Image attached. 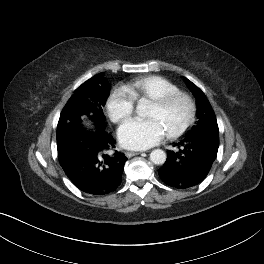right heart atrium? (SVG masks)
Returning a JSON list of instances; mask_svg holds the SVG:
<instances>
[{
	"instance_id": "d8ad5b80",
	"label": "right heart atrium",
	"mask_w": 264,
	"mask_h": 264,
	"mask_svg": "<svg viewBox=\"0 0 264 264\" xmlns=\"http://www.w3.org/2000/svg\"><path fill=\"white\" fill-rule=\"evenodd\" d=\"M134 108L135 100L126 87L116 88L106 101L107 113L115 123L127 120L132 115Z\"/></svg>"
}]
</instances>
